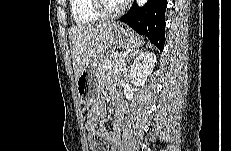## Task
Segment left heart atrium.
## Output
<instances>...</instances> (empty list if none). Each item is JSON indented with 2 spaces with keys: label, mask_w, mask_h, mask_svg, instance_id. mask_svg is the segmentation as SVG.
Here are the masks:
<instances>
[{
  "label": "left heart atrium",
  "mask_w": 231,
  "mask_h": 151,
  "mask_svg": "<svg viewBox=\"0 0 231 151\" xmlns=\"http://www.w3.org/2000/svg\"><path fill=\"white\" fill-rule=\"evenodd\" d=\"M117 1H119L120 3H126V2H128V0H117Z\"/></svg>",
  "instance_id": "39dd6f15"
}]
</instances>
